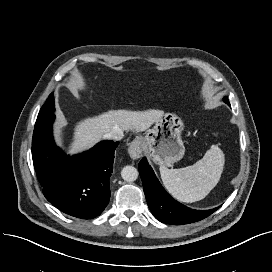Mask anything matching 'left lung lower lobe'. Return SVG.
I'll list each match as a JSON object with an SVG mask.
<instances>
[{
	"mask_svg": "<svg viewBox=\"0 0 272 272\" xmlns=\"http://www.w3.org/2000/svg\"><path fill=\"white\" fill-rule=\"evenodd\" d=\"M139 173L148 206L156 219L174 225L200 221L219 207L210 210H195L174 200L161 186L146 158L139 163Z\"/></svg>",
	"mask_w": 272,
	"mask_h": 272,
	"instance_id": "1",
	"label": "left lung lower lobe"
}]
</instances>
